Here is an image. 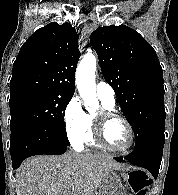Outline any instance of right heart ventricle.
I'll return each instance as SVG.
<instances>
[{
    "label": "right heart ventricle",
    "instance_id": "obj_1",
    "mask_svg": "<svg viewBox=\"0 0 178 195\" xmlns=\"http://www.w3.org/2000/svg\"><path fill=\"white\" fill-rule=\"evenodd\" d=\"M101 104H102V107L103 109H110V110H113L114 108V105H111V104H108L107 102L101 100ZM87 118H88V133H87V136H86V139L85 141L90 145V146H99L97 144V142L95 141L94 139V123H93V116L92 115H87Z\"/></svg>",
    "mask_w": 178,
    "mask_h": 195
}]
</instances>
